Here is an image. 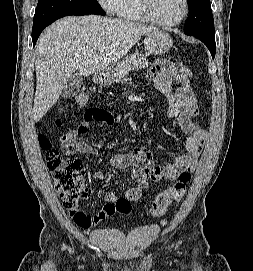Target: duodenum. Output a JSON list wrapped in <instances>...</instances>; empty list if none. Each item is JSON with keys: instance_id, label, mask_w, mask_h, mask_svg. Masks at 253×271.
<instances>
[{"instance_id": "410a0bca", "label": "duodenum", "mask_w": 253, "mask_h": 271, "mask_svg": "<svg viewBox=\"0 0 253 271\" xmlns=\"http://www.w3.org/2000/svg\"><path fill=\"white\" fill-rule=\"evenodd\" d=\"M98 78L100 79V78H101V76L99 75V76H98Z\"/></svg>"}]
</instances>
